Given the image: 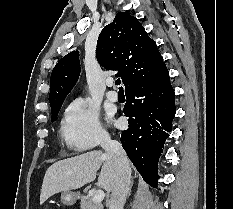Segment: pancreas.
<instances>
[{"instance_id": "1", "label": "pancreas", "mask_w": 233, "mask_h": 209, "mask_svg": "<svg viewBox=\"0 0 233 209\" xmlns=\"http://www.w3.org/2000/svg\"><path fill=\"white\" fill-rule=\"evenodd\" d=\"M81 209H103L104 206L101 202H94L92 198L82 196L80 201Z\"/></svg>"}]
</instances>
